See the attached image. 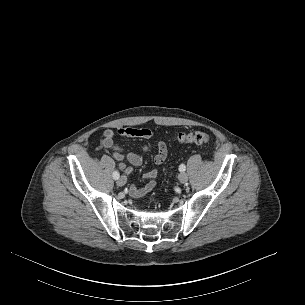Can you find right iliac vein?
<instances>
[{
	"label": "right iliac vein",
	"mask_w": 305,
	"mask_h": 305,
	"mask_svg": "<svg viewBox=\"0 0 305 305\" xmlns=\"http://www.w3.org/2000/svg\"><path fill=\"white\" fill-rule=\"evenodd\" d=\"M127 182V178L125 176H121L118 180H117V184L118 186H124Z\"/></svg>",
	"instance_id": "obj_1"
}]
</instances>
